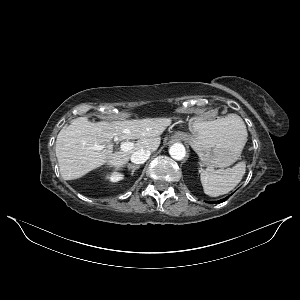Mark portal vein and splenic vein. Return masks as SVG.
Masks as SVG:
<instances>
[{"label":"portal vein and splenic vein","instance_id":"portal-vein-and-splenic-vein-1","mask_svg":"<svg viewBox=\"0 0 300 300\" xmlns=\"http://www.w3.org/2000/svg\"><path fill=\"white\" fill-rule=\"evenodd\" d=\"M133 146H134L133 142H123L120 145V149L122 151H128V150H131L133 148Z\"/></svg>","mask_w":300,"mask_h":300}]
</instances>
